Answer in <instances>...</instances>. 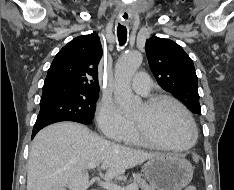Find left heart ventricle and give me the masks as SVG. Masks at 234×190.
I'll return each instance as SVG.
<instances>
[{
  "label": "left heart ventricle",
  "mask_w": 234,
  "mask_h": 190,
  "mask_svg": "<svg viewBox=\"0 0 234 190\" xmlns=\"http://www.w3.org/2000/svg\"><path fill=\"white\" fill-rule=\"evenodd\" d=\"M133 119L144 123L151 135L161 143L183 146L192 139L189 121L172 103H161L151 112L143 104Z\"/></svg>",
  "instance_id": "1"
}]
</instances>
